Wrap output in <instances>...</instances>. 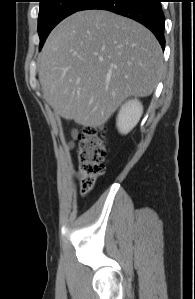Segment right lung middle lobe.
Here are the masks:
<instances>
[{
    "mask_svg": "<svg viewBox=\"0 0 195 299\" xmlns=\"http://www.w3.org/2000/svg\"><path fill=\"white\" fill-rule=\"evenodd\" d=\"M88 0H40L38 33L40 49L50 31L65 17L77 12Z\"/></svg>",
    "mask_w": 195,
    "mask_h": 299,
    "instance_id": "obj_1",
    "label": "right lung middle lobe"
}]
</instances>
